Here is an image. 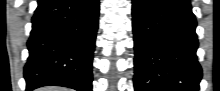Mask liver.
<instances>
[{"label":"liver","mask_w":220,"mask_h":91,"mask_svg":"<svg viewBox=\"0 0 220 91\" xmlns=\"http://www.w3.org/2000/svg\"><path fill=\"white\" fill-rule=\"evenodd\" d=\"M38 91H67V90L61 88H55V87H46V88H41Z\"/></svg>","instance_id":"1"}]
</instances>
